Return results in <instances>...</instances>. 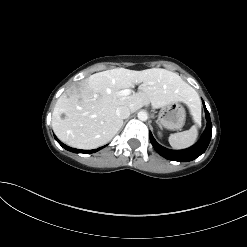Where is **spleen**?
I'll return each instance as SVG.
<instances>
[{
	"mask_svg": "<svg viewBox=\"0 0 247 247\" xmlns=\"http://www.w3.org/2000/svg\"><path fill=\"white\" fill-rule=\"evenodd\" d=\"M191 114L196 124L201 122V105L199 102L191 108ZM198 137L197 125H193L189 130L174 133L169 136V143L174 149H185L192 146Z\"/></svg>",
	"mask_w": 247,
	"mask_h": 247,
	"instance_id": "spleen-1",
	"label": "spleen"
}]
</instances>
